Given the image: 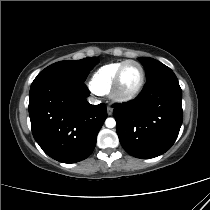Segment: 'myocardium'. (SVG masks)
Listing matches in <instances>:
<instances>
[{"mask_svg": "<svg viewBox=\"0 0 210 210\" xmlns=\"http://www.w3.org/2000/svg\"><path fill=\"white\" fill-rule=\"evenodd\" d=\"M130 63L136 64L139 67V69H140V79H139L138 84L132 90L122 91L121 90L122 72H123L124 68ZM144 82H145V70H144V67L142 66V64L140 62L136 61V60H126L118 68V70H117V72L114 76L112 86H111V89H110V95H111L112 99L117 101V102L130 101L139 94V92L143 88Z\"/></svg>", "mask_w": 210, "mask_h": 210, "instance_id": "f54148a6", "label": "myocardium"}]
</instances>
